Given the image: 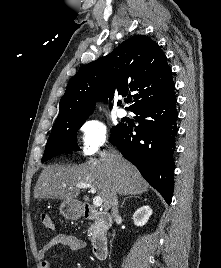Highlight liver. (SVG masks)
I'll return each mask as SVG.
<instances>
[{
  "label": "liver",
  "instance_id": "6515ba94",
  "mask_svg": "<svg viewBox=\"0 0 221 268\" xmlns=\"http://www.w3.org/2000/svg\"><path fill=\"white\" fill-rule=\"evenodd\" d=\"M77 183L95 187L108 211L114 195H136L148 191V183L137 168L116 151H105L99 159L90 158L75 167H45L34 188L36 199L76 200L81 192Z\"/></svg>",
  "mask_w": 221,
  "mask_h": 268
}]
</instances>
